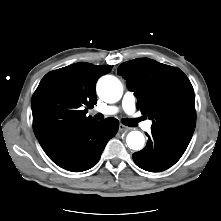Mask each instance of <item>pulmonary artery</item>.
Masks as SVG:
<instances>
[{
    "label": "pulmonary artery",
    "mask_w": 221,
    "mask_h": 221,
    "mask_svg": "<svg viewBox=\"0 0 221 221\" xmlns=\"http://www.w3.org/2000/svg\"><path fill=\"white\" fill-rule=\"evenodd\" d=\"M135 102L136 97L135 94L131 91H126L123 99H122V106L126 113L133 114L135 111ZM98 112L106 115H112L117 112V108L114 106H105L97 109ZM143 128L146 131H149L151 129L152 123L150 121L143 123Z\"/></svg>",
    "instance_id": "1"
}]
</instances>
